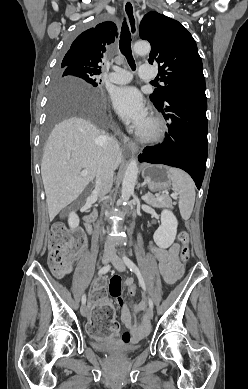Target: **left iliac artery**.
<instances>
[{
	"mask_svg": "<svg viewBox=\"0 0 248 389\" xmlns=\"http://www.w3.org/2000/svg\"><path fill=\"white\" fill-rule=\"evenodd\" d=\"M122 259H123L124 263L127 265V267L130 269V271L134 272L137 275L140 286L146 292L145 283H144V280H143V277H142V274H141L139 268L126 255H123ZM148 303H149V307L153 308V302H152L151 298H149V297H148Z\"/></svg>",
	"mask_w": 248,
	"mask_h": 389,
	"instance_id": "left-iliac-artery-1",
	"label": "left iliac artery"
}]
</instances>
